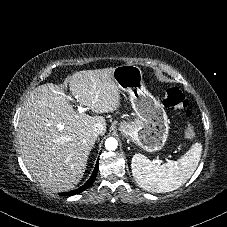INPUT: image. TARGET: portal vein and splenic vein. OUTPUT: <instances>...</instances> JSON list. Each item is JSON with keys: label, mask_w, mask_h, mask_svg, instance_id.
<instances>
[{"label": "portal vein and splenic vein", "mask_w": 227, "mask_h": 227, "mask_svg": "<svg viewBox=\"0 0 227 227\" xmlns=\"http://www.w3.org/2000/svg\"><path fill=\"white\" fill-rule=\"evenodd\" d=\"M77 108H78L79 113H83V112L87 111V109H88V108H84L82 106H77ZM158 163H159V161H158Z\"/></svg>", "instance_id": "1"}]
</instances>
